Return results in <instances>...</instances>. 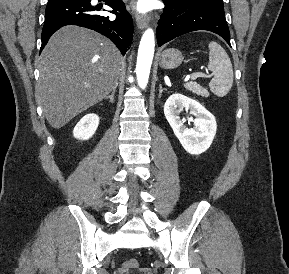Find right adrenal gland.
Returning a JSON list of instances; mask_svg holds the SVG:
<instances>
[{"instance_id":"1","label":"right adrenal gland","mask_w":289,"mask_h":274,"mask_svg":"<svg viewBox=\"0 0 289 274\" xmlns=\"http://www.w3.org/2000/svg\"><path fill=\"white\" fill-rule=\"evenodd\" d=\"M117 86H118V84H117V85L114 87V89L112 90L111 95H109V96L107 97V99H109L110 103H114V95H115Z\"/></svg>"}]
</instances>
